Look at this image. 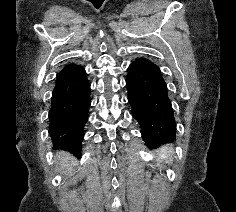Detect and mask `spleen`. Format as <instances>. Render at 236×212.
Wrapping results in <instances>:
<instances>
[{
  "instance_id": "3e777b00",
  "label": "spleen",
  "mask_w": 236,
  "mask_h": 212,
  "mask_svg": "<svg viewBox=\"0 0 236 212\" xmlns=\"http://www.w3.org/2000/svg\"><path fill=\"white\" fill-rule=\"evenodd\" d=\"M172 148L170 147H162L159 152V159L166 160L167 163H171L172 161Z\"/></svg>"
}]
</instances>
